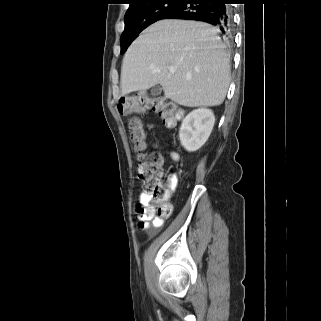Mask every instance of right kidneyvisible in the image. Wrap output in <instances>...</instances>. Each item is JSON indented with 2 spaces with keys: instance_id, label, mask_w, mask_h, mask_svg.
Returning a JSON list of instances; mask_svg holds the SVG:
<instances>
[{
  "instance_id": "1",
  "label": "right kidney",
  "mask_w": 321,
  "mask_h": 321,
  "mask_svg": "<svg viewBox=\"0 0 321 321\" xmlns=\"http://www.w3.org/2000/svg\"><path fill=\"white\" fill-rule=\"evenodd\" d=\"M215 123L210 109L199 108L190 112L182 121L179 130L181 145L188 151L200 149L208 140Z\"/></svg>"
}]
</instances>
